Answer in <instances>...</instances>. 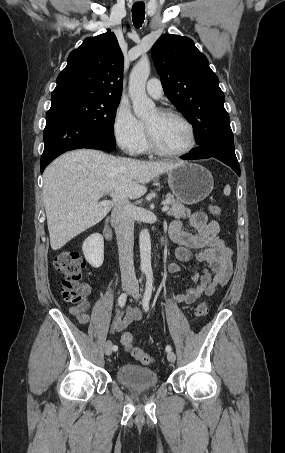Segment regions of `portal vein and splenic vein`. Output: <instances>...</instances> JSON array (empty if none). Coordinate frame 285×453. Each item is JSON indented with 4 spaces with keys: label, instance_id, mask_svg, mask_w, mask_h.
Masks as SVG:
<instances>
[{
    "label": "portal vein and splenic vein",
    "instance_id": "18ae733b",
    "mask_svg": "<svg viewBox=\"0 0 285 453\" xmlns=\"http://www.w3.org/2000/svg\"><path fill=\"white\" fill-rule=\"evenodd\" d=\"M109 203H111V202H104L103 204H109ZM168 210H169V206L167 205V202H164L163 203V207H162V211L166 212Z\"/></svg>",
    "mask_w": 285,
    "mask_h": 453
}]
</instances>
